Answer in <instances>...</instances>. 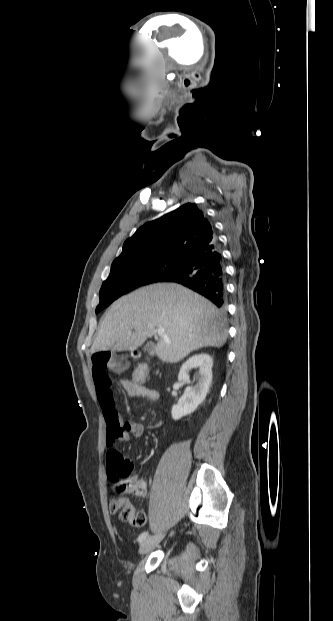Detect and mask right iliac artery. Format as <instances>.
I'll return each mask as SVG.
<instances>
[{"label": "right iliac artery", "instance_id": "obj_1", "mask_svg": "<svg viewBox=\"0 0 333 621\" xmlns=\"http://www.w3.org/2000/svg\"><path fill=\"white\" fill-rule=\"evenodd\" d=\"M147 536H148V532L147 531L146 532H142L139 535V537H138V542L142 543L147 538Z\"/></svg>", "mask_w": 333, "mask_h": 621}]
</instances>
